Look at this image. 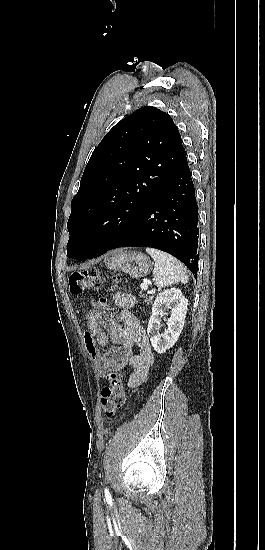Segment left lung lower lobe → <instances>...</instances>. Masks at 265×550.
<instances>
[{"label": "left lung lower lobe", "mask_w": 265, "mask_h": 550, "mask_svg": "<svg viewBox=\"0 0 265 550\" xmlns=\"http://www.w3.org/2000/svg\"><path fill=\"white\" fill-rule=\"evenodd\" d=\"M197 223L198 205L185 156L132 226L92 258L119 247H152L173 255L197 275Z\"/></svg>", "instance_id": "1"}]
</instances>
